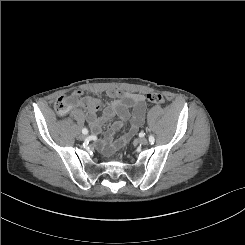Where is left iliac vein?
I'll return each mask as SVG.
<instances>
[{"mask_svg":"<svg viewBox=\"0 0 245 245\" xmlns=\"http://www.w3.org/2000/svg\"><path fill=\"white\" fill-rule=\"evenodd\" d=\"M139 143L141 144V145H147L148 144V139L147 138H140L139 139Z\"/></svg>","mask_w":245,"mask_h":245,"instance_id":"obj_1","label":"left iliac vein"}]
</instances>
